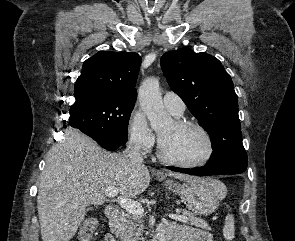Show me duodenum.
Wrapping results in <instances>:
<instances>
[{
    "mask_svg": "<svg viewBox=\"0 0 295 241\" xmlns=\"http://www.w3.org/2000/svg\"><path fill=\"white\" fill-rule=\"evenodd\" d=\"M106 215L109 219H112V220L118 219L120 215L118 207L115 205L107 206ZM154 241H171V240L169 235L158 233Z\"/></svg>",
    "mask_w": 295,
    "mask_h": 241,
    "instance_id": "obj_1",
    "label": "duodenum"
}]
</instances>
